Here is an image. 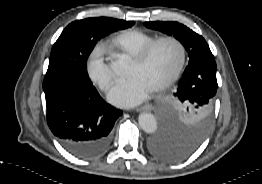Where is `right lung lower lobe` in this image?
<instances>
[{
  "label": "right lung lower lobe",
  "instance_id": "obj_1",
  "mask_svg": "<svg viewBox=\"0 0 262 184\" xmlns=\"http://www.w3.org/2000/svg\"><path fill=\"white\" fill-rule=\"evenodd\" d=\"M43 90L48 126L62 146L82 159L103 153L122 111L106 103L91 82L76 76L44 81Z\"/></svg>",
  "mask_w": 262,
  "mask_h": 184
}]
</instances>
